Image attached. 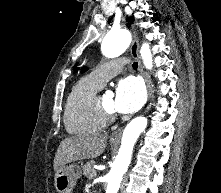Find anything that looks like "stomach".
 <instances>
[{"label": "stomach", "mask_w": 221, "mask_h": 193, "mask_svg": "<svg viewBox=\"0 0 221 193\" xmlns=\"http://www.w3.org/2000/svg\"><path fill=\"white\" fill-rule=\"evenodd\" d=\"M81 177V168L78 165L62 166L55 173V188L58 193H72L77 180Z\"/></svg>", "instance_id": "stomach-1"}]
</instances>
